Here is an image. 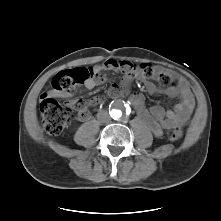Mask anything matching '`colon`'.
Here are the masks:
<instances>
[{
  "label": "colon",
  "mask_w": 221,
  "mask_h": 221,
  "mask_svg": "<svg viewBox=\"0 0 221 221\" xmlns=\"http://www.w3.org/2000/svg\"><path fill=\"white\" fill-rule=\"evenodd\" d=\"M133 71H139L144 77L154 78L163 86H178L179 80L169 72L155 69L150 64L132 66ZM94 76L91 67H78L57 72L50 81V87L40 98V111L42 123L45 130L51 134L62 132L73 118L72 108L58 102L54 94L68 92L77 85L85 82ZM132 89V87H131ZM120 90L115 91L117 96ZM181 136L179 129H174L170 138L177 141Z\"/></svg>",
  "instance_id": "5ec220e1"
}]
</instances>
